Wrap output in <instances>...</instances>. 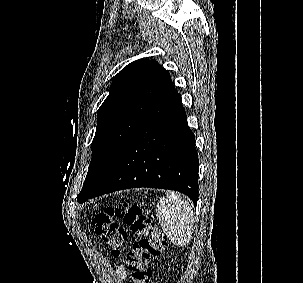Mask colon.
<instances>
[{"label":"colon","mask_w":303,"mask_h":283,"mask_svg":"<svg viewBox=\"0 0 303 283\" xmlns=\"http://www.w3.org/2000/svg\"><path fill=\"white\" fill-rule=\"evenodd\" d=\"M123 221L130 232L138 236L127 254L131 283H152V271L147 263L158 257L166 242L151 219L137 204L125 202L121 208L101 207L93 213L92 223L96 233L113 256H119L128 239V232L116 219Z\"/></svg>","instance_id":"5ec220e1"}]
</instances>
